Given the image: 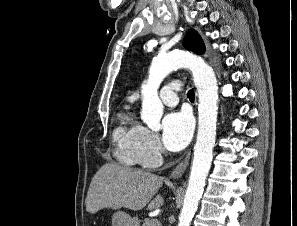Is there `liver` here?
I'll use <instances>...</instances> for the list:
<instances>
[{"label":"liver","mask_w":297,"mask_h":226,"mask_svg":"<svg viewBox=\"0 0 297 226\" xmlns=\"http://www.w3.org/2000/svg\"><path fill=\"white\" fill-rule=\"evenodd\" d=\"M162 178L144 170L115 163L104 164L94 175L86 198V210L95 214L104 208L122 207L138 211L159 208L164 199L154 195L162 186Z\"/></svg>","instance_id":"1"}]
</instances>
